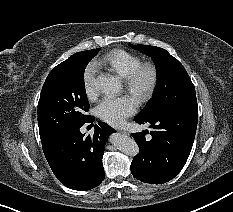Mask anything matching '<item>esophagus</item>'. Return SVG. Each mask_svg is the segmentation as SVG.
<instances>
[{"label": "esophagus", "mask_w": 233, "mask_h": 212, "mask_svg": "<svg viewBox=\"0 0 233 212\" xmlns=\"http://www.w3.org/2000/svg\"><path fill=\"white\" fill-rule=\"evenodd\" d=\"M119 131H120V133H122V134L129 135V133H128L126 130H124V129H120Z\"/></svg>", "instance_id": "obj_1"}]
</instances>
